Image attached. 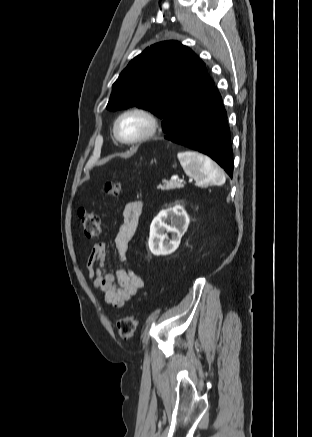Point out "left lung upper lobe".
<instances>
[{
    "label": "left lung upper lobe",
    "instance_id": "5c2ea615",
    "mask_svg": "<svg viewBox=\"0 0 312 437\" xmlns=\"http://www.w3.org/2000/svg\"><path fill=\"white\" fill-rule=\"evenodd\" d=\"M205 64L186 46L165 41L136 56L113 84L107 109L137 106L163 119L166 136L211 92Z\"/></svg>",
    "mask_w": 312,
    "mask_h": 437
}]
</instances>
